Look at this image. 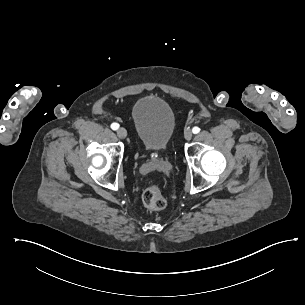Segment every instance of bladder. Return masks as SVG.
Masks as SVG:
<instances>
[{"label": "bladder", "instance_id": "obj_1", "mask_svg": "<svg viewBox=\"0 0 305 305\" xmlns=\"http://www.w3.org/2000/svg\"><path fill=\"white\" fill-rule=\"evenodd\" d=\"M130 114L141 142L157 151L165 150L175 130L170 102L153 93L145 94L133 103Z\"/></svg>", "mask_w": 305, "mask_h": 305}]
</instances>
